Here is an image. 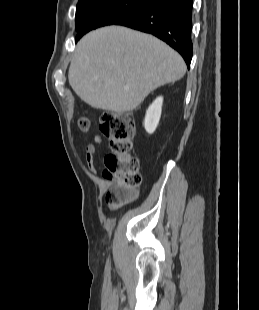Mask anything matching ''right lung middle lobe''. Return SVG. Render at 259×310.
<instances>
[{"mask_svg": "<svg viewBox=\"0 0 259 310\" xmlns=\"http://www.w3.org/2000/svg\"><path fill=\"white\" fill-rule=\"evenodd\" d=\"M156 0H104L97 4L77 8L76 41L90 30L115 24L120 19L152 5Z\"/></svg>", "mask_w": 259, "mask_h": 310, "instance_id": "1", "label": "right lung middle lobe"}]
</instances>
